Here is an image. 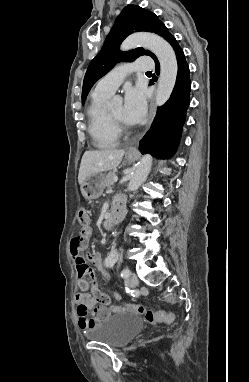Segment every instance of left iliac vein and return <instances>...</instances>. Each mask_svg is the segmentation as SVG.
<instances>
[{
	"mask_svg": "<svg viewBox=\"0 0 249 382\" xmlns=\"http://www.w3.org/2000/svg\"><path fill=\"white\" fill-rule=\"evenodd\" d=\"M138 285V277L136 274H132L129 279V286L135 288Z\"/></svg>",
	"mask_w": 249,
	"mask_h": 382,
	"instance_id": "1",
	"label": "left iliac vein"
}]
</instances>
